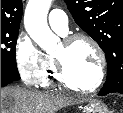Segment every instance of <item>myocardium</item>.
Masks as SVG:
<instances>
[{"label":"myocardium","instance_id":"obj_1","mask_svg":"<svg viewBox=\"0 0 123 113\" xmlns=\"http://www.w3.org/2000/svg\"><path fill=\"white\" fill-rule=\"evenodd\" d=\"M77 41L88 42L94 48V50L97 54L98 75H97L96 79L94 80V82L91 85L86 86V87L80 86V85L72 82L66 73L63 62L61 61V59L59 57L54 55L53 63H54L55 73H56V77H57L58 81L61 84H63L64 86H66L70 89H73L75 91H78L80 93H90V92L97 90L105 79L106 65H107L106 55H105V52H104L102 46L99 44V42L89 34L76 33V34L69 35L64 38L62 44L65 47H70Z\"/></svg>","mask_w":123,"mask_h":113}]
</instances>
